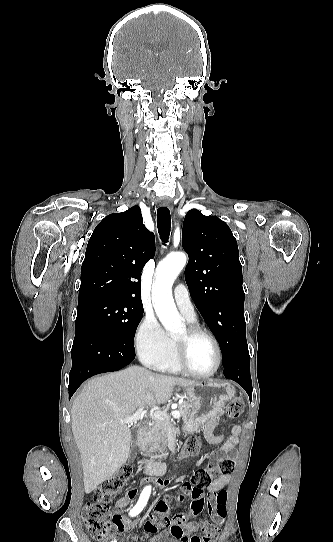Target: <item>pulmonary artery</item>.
Segmentation results:
<instances>
[{
  "label": "pulmonary artery",
  "mask_w": 333,
  "mask_h": 542,
  "mask_svg": "<svg viewBox=\"0 0 333 542\" xmlns=\"http://www.w3.org/2000/svg\"><path fill=\"white\" fill-rule=\"evenodd\" d=\"M190 287L180 285L174 290V300L178 310L191 322L196 320V312L192 300L189 296Z\"/></svg>",
  "instance_id": "1"
}]
</instances>
